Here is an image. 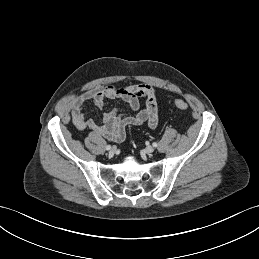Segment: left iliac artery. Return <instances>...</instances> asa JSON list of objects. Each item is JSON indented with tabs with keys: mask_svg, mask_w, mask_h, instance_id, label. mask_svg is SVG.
Masks as SVG:
<instances>
[{
	"mask_svg": "<svg viewBox=\"0 0 259 259\" xmlns=\"http://www.w3.org/2000/svg\"><path fill=\"white\" fill-rule=\"evenodd\" d=\"M152 145H153V147H157L158 146V144L156 142H154Z\"/></svg>",
	"mask_w": 259,
	"mask_h": 259,
	"instance_id": "1",
	"label": "left iliac artery"
}]
</instances>
